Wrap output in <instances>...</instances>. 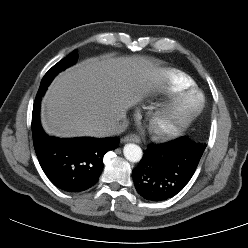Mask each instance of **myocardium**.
<instances>
[{
    "instance_id": "1",
    "label": "myocardium",
    "mask_w": 248,
    "mask_h": 248,
    "mask_svg": "<svg viewBox=\"0 0 248 248\" xmlns=\"http://www.w3.org/2000/svg\"><path fill=\"white\" fill-rule=\"evenodd\" d=\"M196 97L198 101L189 106L188 104ZM204 106L205 97L200 91L187 90L162 105L150 118L149 127L160 139L175 138L202 113Z\"/></svg>"
}]
</instances>
